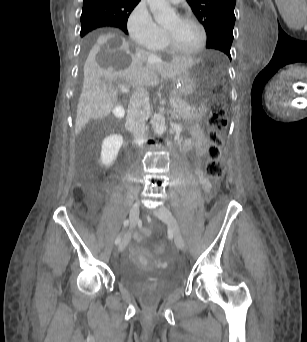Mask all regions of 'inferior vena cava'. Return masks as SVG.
I'll return each instance as SVG.
<instances>
[{"instance_id": "1", "label": "inferior vena cava", "mask_w": 307, "mask_h": 342, "mask_svg": "<svg viewBox=\"0 0 307 342\" xmlns=\"http://www.w3.org/2000/svg\"><path fill=\"white\" fill-rule=\"evenodd\" d=\"M149 104V96L145 88H137L132 94L128 106L125 128L132 132L139 148H143L145 138V124L148 116L146 106Z\"/></svg>"}]
</instances>
